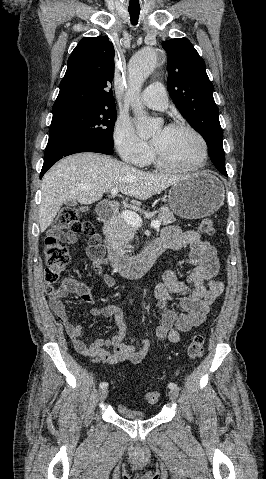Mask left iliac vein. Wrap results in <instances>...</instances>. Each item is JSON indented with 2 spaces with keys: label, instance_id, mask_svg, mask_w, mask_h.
I'll use <instances>...</instances> for the list:
<instances>
[{
  "label": "left iliac vein",
  "instance_id": "left-iliac-vein-1",
  "mask_svg": "<svg viewBox=\"0 0 266 479\" xmlns=\"http://www.w3.org/2000/svg\"><path fill=\"white\" fill-rule=\"evenodd\" d=\"M168 395H169V398H170V399H172V400H177V399H178V396H179V392H178V390H176V389H175V390H171V391H169Z\"/></svg>",
  "mask_w": 266,
  "mask_h": 479
}]
</instances>
